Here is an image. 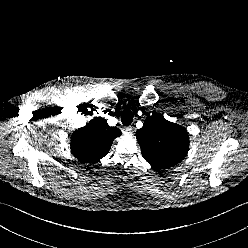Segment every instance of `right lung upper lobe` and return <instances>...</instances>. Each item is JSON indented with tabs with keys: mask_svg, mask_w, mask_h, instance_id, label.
<instances>
[{
	"mask_svg": "<svg viewBox=\"0 0 248 248\" xmlns=\"http://www.w3.org/2000/svg\"><path fill=\"white\" fill-rule=\"evenodd\" d=\"M120 135L121 131L110 127L105 119L95 118L73 132L71 152L81 161L96 163L109 152L113 140Z\"/></svg>",
	"mask_w": 248,
	"mask_h": 248,
	"instance_id": "1",
	"label": "right lung upper lobe"
}]
</instances>
